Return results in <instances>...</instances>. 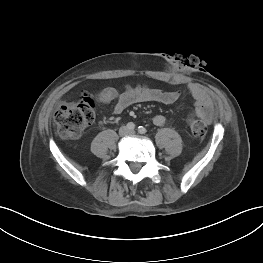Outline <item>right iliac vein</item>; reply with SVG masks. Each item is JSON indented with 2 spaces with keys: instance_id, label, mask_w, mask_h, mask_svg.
<instances>
[{
  "instance_id": "right-iliac-vein-1",
  "label": "right iliac vein",
  "mask_w": 263,
  "mask_h": 263,
  "mask_svg": "<svg viewBox=\"0 0 263 263\" xmlns=\"http://www.w3.org/2000/svg\"><path fill=\"white\" fill-rule=\"evenodd\" d=\"M128 133H129V130H128L127 127H122V128H120V130H119V134H120L121 136H125V135H127Z\"/></svg>"
}]
</instances>
